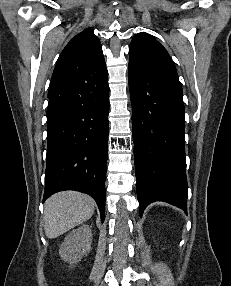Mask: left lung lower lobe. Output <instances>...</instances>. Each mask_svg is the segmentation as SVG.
<instances>
[{"instance_id": "1", "label": "left lung lower lobe", "mask_w": 231, "mask_h": 286, "mask_svg": "<svg viewBox=\"0 0 231 286\" xmlns=\"http://www.w3.org/2000/svg\"><path fill=\"white\" fill-rule=\"evenodd\" d=\"M140 216L154 201L187 210L184 104L179 80L129 63Z\"/></svg>"}]
</instances>
